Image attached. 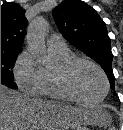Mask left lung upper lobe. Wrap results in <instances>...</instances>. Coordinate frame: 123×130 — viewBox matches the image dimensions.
I'll list each match as a JSON object with an SVG mask.
<instances>
[{
    "label": "left lung upper lobe",
    "instance_id": "obj_1",
    "mask_svg": "<svg viewBox=\"0 0 123 130\" xmlns=\"http://www.w3.org/2000/svg\"><path fill=\"white\" fill-rule=\"evenodd\" d=\"M53 17L63 36L103 68L114 89L110 38L97 12L81 0H65L53 9Z\"/></svg>",
    "mask_w": 123,
    "mask_h": 130
}]
</instances>
